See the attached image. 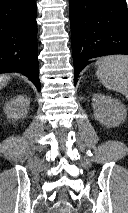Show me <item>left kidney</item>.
I'll return each mask as SVG.
<instances>
[{
	"instance_id": "obj_1",
	"label": "left kidney",
	"mask_w": 128,
	"mask_h": 213,
	"mask_svg": "<svg viewBox=\"0 0 128 213\" xmlns=\"http://www.w3.org/2000/svg\"><path fill=\"white\" fill-rule=\"evenodd\" d=\"M92 107L94 118L108 128L121 124L127 114L120 101L99 93L93 94Z\"/></svg>"
}]
</instances>
